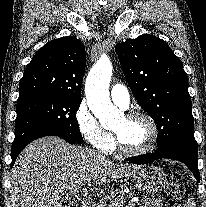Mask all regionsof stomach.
<instances>
[{
    "mask_svg": "<svg viewBox=\"0 0 206 207\" xmlns=\"http://www.w3.org/2000/svg\"><path fill=\"white\" fill-rule=\"evenodd\" d=\"M128 183L138 191L146 194H156L162 191L167 184L166 174L158 167L153 165L138 166Z\"/></svg>",
    "mask_w": 206,
    "mask_h": 207,
    "instance_id": "0dacf381",
    "label": "stomach"
}]
</instances>
